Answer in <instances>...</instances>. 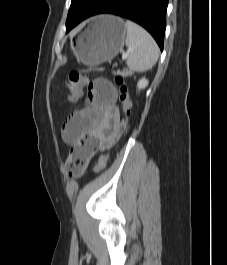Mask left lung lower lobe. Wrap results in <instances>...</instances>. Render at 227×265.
<instances>
[{"instance_id":"obj_1","label":"left lung lower lobe","mask_w":227,"mask_h":265,"mask_svg":"<svg viewBox=\"0 0 227 265\" xmlns=\"http://www.w3.org/2000/svg\"><path fill=\"white\" fill-rule=\"evenodd\" d=\"M167 5L168 0H105L90 16L108 13L130 19L143 26L163 50Z\"/></svg>"}]
</instances>
